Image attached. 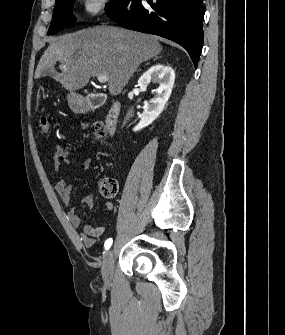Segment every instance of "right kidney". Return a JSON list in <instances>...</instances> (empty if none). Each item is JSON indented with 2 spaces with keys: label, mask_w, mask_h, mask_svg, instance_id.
<instances>
[{
  "label": "right kidney",
  "mask_w": 285,
  "mask_h": 335,
  "mask_svg": "<svg viewBox=\"0 0 285 335\" xmlns=\"http://www.w3.org/2000/svg\"><path fill=\"white\" fill-rule=\"evenodd\" d=\"M175 80L174 70L170 66H164V64H156L149 68L147 72H144L143 76L138 80V86L142 92H145L149 82H158L159 88L157 90H152L156 96H154L152 102L147 104L144 108L143 114H141V120L135 128L134 132L137 130H142L146 128L149 124H152L159 114L163 112L166 102H168L173 84Z\"/></svg>",
  "instance_id": "obj_1"
}]
</instances>
